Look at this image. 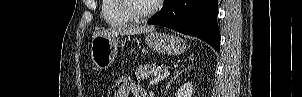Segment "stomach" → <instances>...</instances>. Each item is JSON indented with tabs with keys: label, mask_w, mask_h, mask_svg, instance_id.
Instances as JSON below:
<instances>
[{
	"label": "stomach",
	"mask_w": 302,
	"mask_h": 97,
	"mask_svg": "<svg viewBox=\"0 0 302 97\" xmlns=\"http://www.w3.org/2000/svg\"><path fill=\"white\" fill-rule=\"evenodd\" d=\"M119 40V35L93 38L91 58L98 69L106 70L111 66L117 54ZM145 41L151 49L164 55H180L186 50L183 39L165 33L149 32Z\"/></svg>",
	"instance_id": "0dacf381"
}]
</instances>
